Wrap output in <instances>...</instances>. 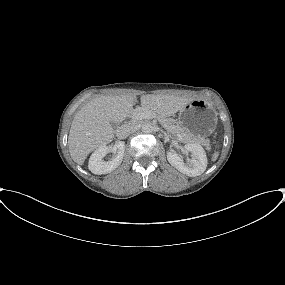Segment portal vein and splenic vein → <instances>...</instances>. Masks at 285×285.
Instances as JSON below:
<instances>
[{
	"label": "portal vein and splenic vein",
	"instance_id": "1",
	"mask_svg": "<svg viewBox=\"0 0 285 285\" xmlns=\"http://www.w3.org/2000/svg\"><path fill=\"white\" fill-rule=\"evenodd\" d=\"M135 118L136 119H150V118H155V114H151L148 112H138V113H136ZM162 125L165 129L167 128L166 125H164V124H162Z\"/></svg>",
	"mask_w": 285,
	"mask_h": 285
}]
</instances>
